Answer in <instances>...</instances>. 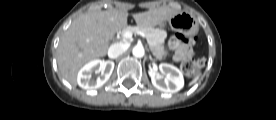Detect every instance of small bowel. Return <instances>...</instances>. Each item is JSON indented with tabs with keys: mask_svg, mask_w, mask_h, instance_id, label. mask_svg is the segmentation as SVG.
Segmentation results:
<instances>
[{
	"mask_svg": "<svg viewBox=\"0 0 276 120\" xmlns=\"http://www.w3.org/2000/svg\"><path fill=\"white\" fill-rule=\"evenodd\" d=\"M191 54H192V48L190 45L186 44L177 54H175V59L179 60L181 56L191 55Z\"/></svg>",
	"mask_w": 276,
	"mask_h": 120,
	"instance_id": "small-bowel-1",
	"label": "small bowel"
}]
</instances>
